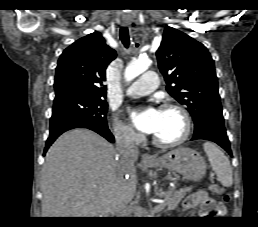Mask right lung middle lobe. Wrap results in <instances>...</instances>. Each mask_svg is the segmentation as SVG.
Returning a JSON list of instances; mask_svg holds the SVG:
<instances>
[{
  "mask_svg": "<svg viewBox=\"0 0 258 227\" xmlns=\"http://www.w3.org/2000/svg\"><path fill=\"white\" fill-rule=\"evenodd\" d=\"M105 97L80 92L56 94L52 117L68 116L96 127L107 126Z\"/></svg>",
  "mask_w": 258,
  "mask_h": 227,
  "instance_id": "1",
  "label": "right lung middle lobe"
}]
</instances>
